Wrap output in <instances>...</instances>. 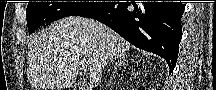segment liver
<instances>
[{
    "label": "liver",
    "instance_id": "liver-1",
    "mask_svg": "<svg viewBox=\"0 0 216 90\" xmlns=\"http://www.w3.org/2000/svg\"><path fill=\"white\" fill-rule=\"evenodd\" d=\"M132 48L111 28L89 18H64L33 36L28 44L27 80L35 90L73 88L81 70L97 88L104 62H115Z\"/></svg>",
    "mask_w": 216,
    "mask_h": 90
}]
</instances>
